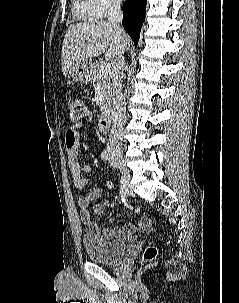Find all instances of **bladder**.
I'll list each match as a JSON object with an SVG mask.
<instances>
[{
  "label": "bladder",
  "mask_w": 239,
  "mask_h": 303,
  "mask_svg": "<svg viewBox=\"0 0 239 303\" xmlns=\"http://www.w3.org/2000/svg\"><path fill=\"white\" fill-rule=\"evenodd\" d=\"M132 241V238L95 239L84 237L82 244L89 260L103 264H111L126 254Z\"/></svg>",
  "instance_id": "bladder-1"
}]
</instances>
